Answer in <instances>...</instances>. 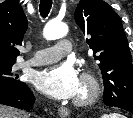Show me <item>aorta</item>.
Returning a JSON list of instances; mask_svg holds the SVG:
<instances>
[{
	"label": "aorta",
	"instance_id": "762f6f07",
	"mask_svg": "<svg viewBox=\"0 0 133 118\" xmlns=\"http://www.w3.org/2000/svg\"><path fill=\"white\" fill-rule=\"evenodd\" d=\"M68 32V27L62 22L50 21L43 30V36L47 40H56L64 37Z\"/></svg>",
	"mask_w": 133,
	"mask_h": 118
}]
</instances>
